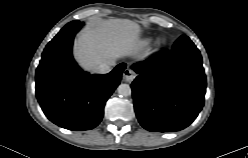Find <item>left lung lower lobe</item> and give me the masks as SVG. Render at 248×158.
<instances>
[{"instance_id": "0a47b994", "label": "left lung lower lobe", "mask_w": 248, "mask_h": 158, "mask_svg": "<svg viewBox=\"0 0 248 158\" xmlns=\"http://www.w3.org/2000/svg\"><path fill=\"white\" fill-rule=\"evenodd\" d=\"M132 82L136 116L146 130L179 131L190 125L204 105L206 76L194 43L181 36L170 51L138 62Z\"/></svg>"}]
</instances>
